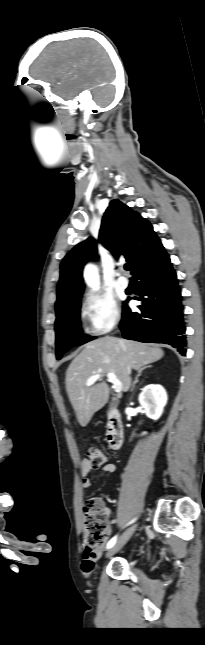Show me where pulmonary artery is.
<instances>
[{"instance_id": "pulmonary-artery-1", "label": "pulmonary artery", "mask_w": 205, "mask_h": 645, "mask_svg": "<svg viewBox=\"0 0 205 645\" xmlns=\"http://www.w3.org/2000/svg\"><path fill=\"white\" fill-rule=\"evenodd\" d=\"M117 282H118V285L123 289H126L129 286V281L124 275H119L117 278Z\"/></svg>"}]
</instances>
